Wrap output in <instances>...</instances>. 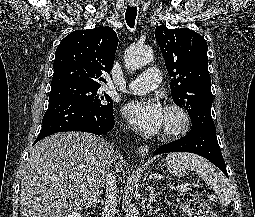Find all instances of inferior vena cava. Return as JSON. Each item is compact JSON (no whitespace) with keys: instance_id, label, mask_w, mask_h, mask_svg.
<instances>
[{"instance_id":"obj_1","label":"inferior vena cava","mask_w":255,"mask_h":217,"mask_svg":"<svg viewBox=\"0 0 255 217\" xmlns=\"http://www.w3.org/2000/svg\"><path fill=\"white\" fill-rule=\"evenodd\" d=\"M106 199L103 217H115L117 206V186L115 176L108 173L106 179Z\"/></svg>"}]
</instances>
